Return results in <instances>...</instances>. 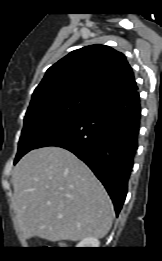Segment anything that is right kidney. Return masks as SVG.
<instances>
[{"label":"right kidney","instance_id":"1","mask_svg":"<svg viewBox=\"0 0 162 261\" xmlns=\"http://www.w3.org/2000/svg\"><path fill=\"white\" fill-rule=\"evenodd\" d=\"M99 241L96 238L93 237H87L84 238L81 242L77 244V248H98L99 247Z\"/></svg>","mask_w":162,"mask_h":261}]
</instances>
